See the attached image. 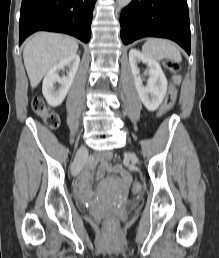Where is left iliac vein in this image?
<instances>
[{
  "label": "left iliac vein",
  "instance_id": "1",
  "mask_svg": "<svg viewBox=\"0 0 219 258\" xmlns=\"http://www.w3.org/2000/svg\"><path fill=\"white\" fill-rule=\"evenodd\" d=\"M126 157H128L133 162H138V159H137L136 155L133 154V153H126Z\"/></svg>",
  "mask_w": 219,
  "mask_h": 258
}]
</instances>
